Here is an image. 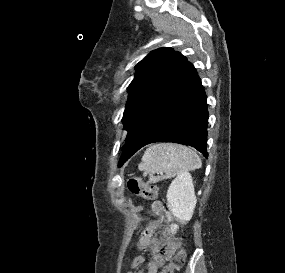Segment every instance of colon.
<instances>
[{"instance_id":"colon-1","label":"colon","mask_w":285,"mask_h":273,"mask_svg":"<svg viewBox=\"0 0 285 273\" xmlns=\"http://www.w3.org/2000/svg\"><path fill=\"white\" fill-rule=\"evenodd\" d=\"M127 187L131 193L145 200H151L157 196V189L138 177L130 178L127 182ZM184 259L185 251L180 249L173 256L171 262L162 269L161 273H174L175 270L183 266Z\"/></svg>"}]
</instances>
